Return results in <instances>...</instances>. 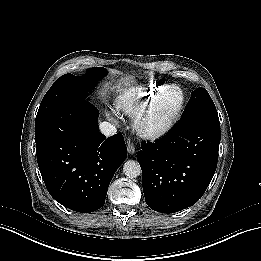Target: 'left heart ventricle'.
Segmentation results:
<instances>
[{
    "label": "left heart ventricle",
    "mask_w": 261,
    "mask_h": 261,
    "mask_svg": "<svg viewBox=\"0 0 261 261\" xmlns=\"http://www.w3.org/2000/svg\"><path fill=\"white\" fill-rule=\"evenodd\" d=\"M178 102L179 97L177 93L170 91L168 94L157 100L147 119L151 122L165 121V119L175 111Z\"/></svg>",
    "instance_id": "obj_1"
}]
</instances>
